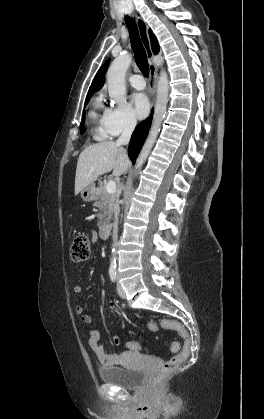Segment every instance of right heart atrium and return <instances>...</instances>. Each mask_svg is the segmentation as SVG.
Wrapping results in <instances>:
<instances>
[{
  "label": "right heart atrium",
  "instance_id": "d8ad5b80",
  "mask_svg": "<svg viewBox=\"0 0 264 419\" xmlns=\"http://www.w3.org/2000/svg\"><path fill=\"white\" fill-rule=\"evenodd\" d=\"M104 125L108 135L118 136L132 132L137 125V120L129 106L121 105L106 111Z\"/></svg>",
  "mask_w": 264,
  "mask_h": 419
}]
</instances>
